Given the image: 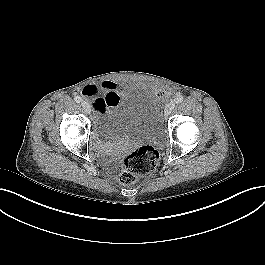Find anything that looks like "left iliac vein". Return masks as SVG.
Instances as JSON below:
<instances>
[{"mask_svg":"<svg viewBox=\"0 0 265 265\" xmlns=\"http://www.w3.org/2000/svg\"><path fill=\"white\" fill-rule=\"evenodd\" d=\"M175 108V103L174 102H170L167 104L166 108H165V115L168 116Z\"/></svg>","mask_w":265,"mask_h":265,"instance_id":"1","label":"left iliac vein"}]
</instances>
